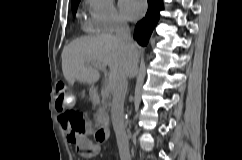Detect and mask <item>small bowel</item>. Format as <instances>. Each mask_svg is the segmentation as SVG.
<instances>
[{"instance_id": "obj_1", "label": "small bowel", "mask_w": 242, "mask_h": 160, "mask_svg": "<svg viewBox=\"0 0 242 160\" xmlns=\"http://www.w3.org/2000/svg\"><path fill=\"white\" fill-rule=\"evenodd\" d=\"M60 122L68 143L74 145L81 156H90L88 153L95 147L94 143L88 138V134L91 132L90 123L86 122L83 133L77 134L70 131L69 125L62 118H60Z\"/></svg>"}]
</instances>
